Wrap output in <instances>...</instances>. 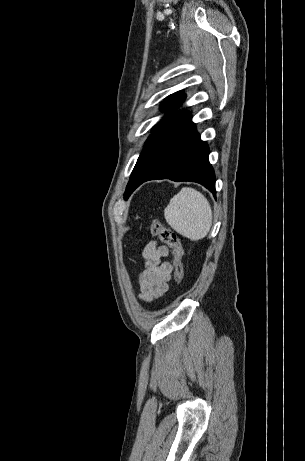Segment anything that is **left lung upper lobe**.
<instances>
[{"mask_svg": "<svg viewBox=\"0 0 305 461\" xmlns=\"http://www.w3.org/2000/svg\"><path fill=\"white\" fill-rule=\"evenodd\" d=\"M185 95L183 92L179 91L176 92L169 97H167L161 104L160 108L164 111H167L166 118L158 125H155L152 130V135L146 141V145L141 152L137 163L133 169V172L130 176V180L128 182L124 197L127 198L131 195L136 183L140 178H142L148 171L151 161H152V151H151V143L153 137L157 130L165 123V121L170 117L171 114L184 102Z\"/></svg>", "mask_w": 305, "mask_h": 461, "instance_id": "obj_1", "label": "left lung upper lobe"}]
</instances>
